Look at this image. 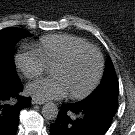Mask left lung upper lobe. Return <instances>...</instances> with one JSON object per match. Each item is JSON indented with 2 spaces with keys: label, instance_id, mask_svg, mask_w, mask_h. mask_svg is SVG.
Instances as JSON below:
<instances>
[{
  "label": "left lung upper lobe",
  "instance_id": "obj_1",
  "mask_svg": "<svg viewBox=\"0 0 135 135\" xmlns=\"http://www.w3.org/2000/svg\"><path fill=\"white\" fill-rule=\"evenodd\" d=\"M119 84L111 58L108 57L101 84L84 100L115 96L118 98Z\"/></svg>",
  "mask_w": 135,
  "mask_h": 135
}]
</instances>
